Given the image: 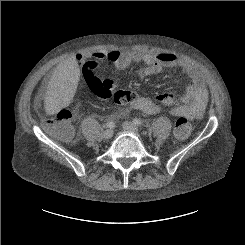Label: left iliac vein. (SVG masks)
<instances>
[{"mask_svg": "<svg viewBox=\"0 0 245 245\" xmlns=\"http://www.w3.org/2000/svg\"><path fill=\"white\" fill-rule=\"evenodd\" d=\"M122 127L127 132L138 133V127L132 122L126 121L122 124Z\"/></svg>", "mask_w": 245, "mask_h": 245, "instance_id": "4c4485c4", "label": "left iliac vein"}]
</instances>
